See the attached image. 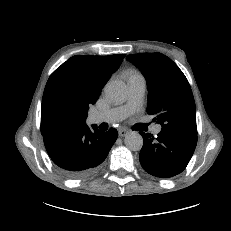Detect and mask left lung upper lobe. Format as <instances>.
Masks as SVG:
<instances>
[{"mask_svg":"<svg viewBox=\"0 0 231 231\" xmlns=\"http://www.w3.org/2000/svg\"><path fill=\"white\" fill-rule=\"evenodd\" d=\"M137 66L148 87L147 113L162 130L197 135L196 108L189 82L179 67L161 53L132 54L126 58Z\"/></svg>","mask_w":231,"mask_h":231,"instance_id":"obj_1","label":"left lung upper lobe"}]
</instances>
